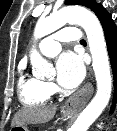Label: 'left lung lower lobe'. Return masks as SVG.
<instances>
[{
  "mask_svg": "<svg viewBox=\"0 0 117 131\" xmlns=\"http://www.w3.org/2000/svg\"><path fill=\"white\" fill-rule=\"evenodd\" d=\"M96 15L104 30L106 45L114 76V95L111 107L112 112L117 102V26L112 20L110 14L104 8H102Z\"/></svg>",
  "mask_w": 117,
  "mask_h": 131,
  "instance_id": "obj_1",
  "label": "left lung lower lobe"
}]
</instances>
